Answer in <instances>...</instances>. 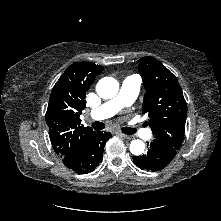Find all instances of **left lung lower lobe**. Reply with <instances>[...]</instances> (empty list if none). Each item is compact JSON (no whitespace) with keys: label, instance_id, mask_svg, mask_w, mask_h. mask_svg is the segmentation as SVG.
<instances>
[{"label":"left lung lower lobe","instance_id":"1","mask_svg":"<svg viewBox=\"0 0 221 221\" xmlns=\"http://www.w3.org/2000/svg\"><path fill=\"white\" fill-rule=\"evenodd\" d=\"M148 151L141 156H133V162L141 169L159 171L165 168L176 155L177 151L162 147L154 142L148 143Z\"/></svg>","mask_w":221,"mask_h":221}]
</instances>
